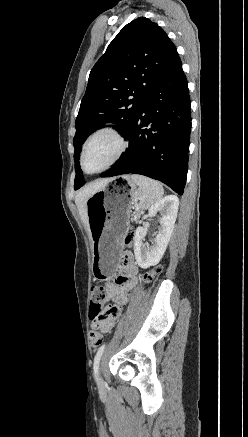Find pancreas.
I'll use <instances>...</instances> for the list:
<instances>
[{"label":"pancreas","mask_w":248,"mask_h":437,"mask_svg":"<svg viewBox=\"0 0 248 437\" xmlns=\"http://www.w3.org/2000/svg\"><path fill=\"white\" fill-rule=\"evenodd\" d=\"M140 215H141V213L138 210H136L135 212H133L131 220L137 221L139 219Z\"/></svg>","instance_id":"1"}]
</instances>
